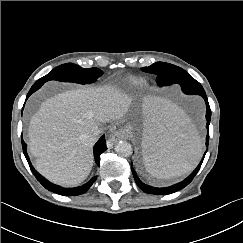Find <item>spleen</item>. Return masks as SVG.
<instances>
[{
	"label": "spleen",
	"instance_id": "spleen-1",
	"mask_svg": "<svg viewBox=\"0 0 243 243\" xmlns=\"http://www.w3.org/2000/svg\"><path fill=\"white\" fill-rule=\"evenodd\" d=\"M140 149L146 171L170 179L191 171L203 143L191 119L176 105L148 98L141 107Z\"/></svg>",
	"mask_w": 243,
	"mask_h": 243
}]
</instances>
